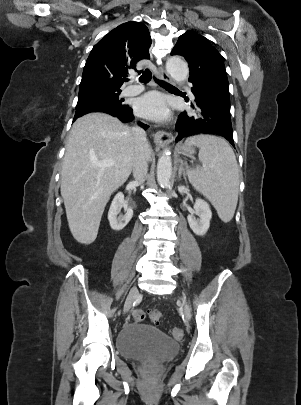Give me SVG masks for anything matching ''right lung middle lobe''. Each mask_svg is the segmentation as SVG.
Listing matches in <instances>:
<instances>
[{"instance_id":"dd1d6c3e","label":"right lung middle lobe","mask_w":301,"mask_h":405,"mask_svg":"<svg viewBox=\"0 0 301 405\" xmlns=\"http://www.w3.org/2000/svg\"><path fill=\"white\" fill-rule=\"evenodd\" d=\"M120 89L114 88H89L80 90L76 105L75 116L102 109H126L129 106L119 98Z\"/></svg>"}]
</instances>
